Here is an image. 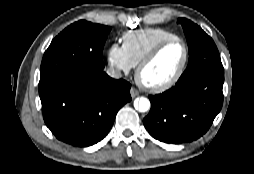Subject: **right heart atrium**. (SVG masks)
Listing matches in <instances>:
<instances>
[{
  "label": "right heart atrium",
  "instance_id": "d8ad5b80",
  "mask_svg": "<svg viewBox=\"0 0 254 174\" xmlns=\"http://www.w3.org/2000/svg\"><path fill=\"white\" fill-rule=\"evenodd\" d=\"M107 61L115 74H128L134 67L127 57L123 46L116 42L108 47Z\"/></svg>",
  "mask_w": 254,
  "mask_h": 174
}]
</instances>
